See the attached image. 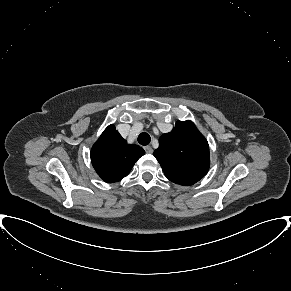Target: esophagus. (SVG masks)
Instances as JSON below:
<instances>
[{"label": "esophagus", "instance_id": "1", "mask_svg": "<svg viewBox=\"0 0 291 291\" xmlns=\"http://www.w3.org/2000/svg\"><path fill=\"white\" fill-rule=\"evenodd\" d=\"M144 150H145V152L148 153V154H151V153L153 152V149H152L151 146H145V147H144Z\"/></svg>", "mask_w": 291, "mask_h": 291}]
</instances>
